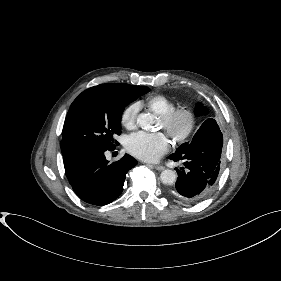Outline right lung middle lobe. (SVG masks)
Here are the masks:
<instances>
[{
	"instance_id": "obj_1",
	"label": "right lung middle lobe",
	"mask_w": 281,
	"mask_h": 281,
	"mask_svg": "<svg viewBox=\"0 0 281 281\" xmlns=\"http://www.w3.org/2000/svg\"><path fill=\"white\" fill-rule=\"evenodd\" d=\"M149 91L146 86H136L130 92L117 93L95 86L82 92L71 104L64 122V163L86 151L112 148L113 136L121 133L124 108Z\"/></svg>"
}]
</instances>
